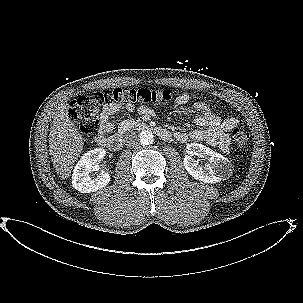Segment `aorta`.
Masks as SVG:
<instances>
[{
  "label": "aorta",
  "mask_w": 303,
  "mask_h": 303,
  "mask_svg": "<svg viewBox=\"0 0 303 303\" xmlns=\"http://www.w3.org/2000/svg\"><path fill=\"white\" fill-rule=\"evenodd\" d=\"M139 141L142 145H150L154 141V135L150 130L141 131L139 134Z\"/></svg>",
  "instance_id": "aorta-1"
}]
</instances>
